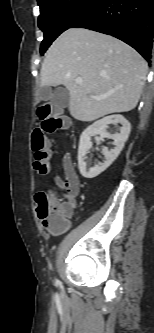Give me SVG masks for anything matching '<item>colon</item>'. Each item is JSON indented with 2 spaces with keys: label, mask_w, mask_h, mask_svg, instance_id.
<instances>
[{
  "label": "colon",
  "mask_w": 154,
  "mask_h": 333,
  "mask_svg": "<svg viewBox=\"0 0 154 333\" xmlns=\"http://www.w3.org/2000/svg\"><path fill=\"white\" fill-rule=\"evenodd\" d=\"M40 119L31 134V147L34 151V169L41 175L47 174L50 167V149L47 134L68 128L69 121L59 114L52 113L46 106L37 110ZM35 210L42 226L51 233L64 231L68 225L67 211L52 190L35 196Z\"/></svg>",
  "instance_id": "obj_1"
}]
</instances>
